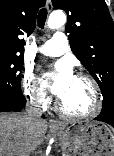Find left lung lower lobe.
Listing matches in <instances>:
<instances>
[{
  "label": "left lung lower lobe",
  "instance_id": "obj_1",
  "mask_svg": "<svg viewBox=\"0 0 114 156\" xmlns=\"http://www.w3.org/2000/svg\"><path fill=\"white\" fill-rule=\"evenodd\" d=\"M95 120L108 123L114 127V113L112 112H101Z\"/></svg>",
  "mask_w": 114,
  "mask_h": 156
}]
</instances>
